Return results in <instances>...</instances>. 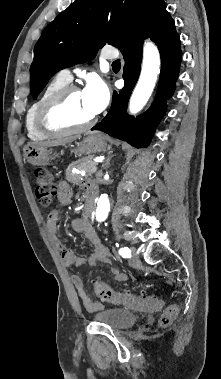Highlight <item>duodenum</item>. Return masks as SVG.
I'll use <instances>...</instances> for the list:
<instances>
[{"instance_id":"1","label":"duodenum","mask_w":221,"mask_h":379,"mask_svg":"<svg viewBox=\"0 0 221 379\" xmlns=\"http://www.w3.org/2000/svg\"><path fill=\"white\" fill-rule=\"evenodd\" d=\"M96 194V187L93 184L90 185L87 189V200L84 206V213L88 216H90L94 210Z\"/></svg>"}]
</instances>
